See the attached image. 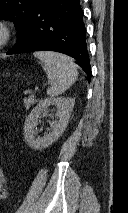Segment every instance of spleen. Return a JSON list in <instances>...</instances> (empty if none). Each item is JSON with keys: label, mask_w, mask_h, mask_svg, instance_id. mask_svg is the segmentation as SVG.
<instances>
[{"label": "spleen", "mask_w": 128, "mask_h": 213, "mask_svg": "<svg viewBox=\"0 0 128 213\" xmlns=\"http://www.w3.org/2000/svg\"><path fill=\"white\" fill-rule=\"evenodd\" d=\"M33 55L42 61L44 71L51 81L47 89L50 97L62 94L76 81L78 72L70 57L51 51H36Z\"/></svg>", "instance_id": "3e777b00"}]
</instances>
